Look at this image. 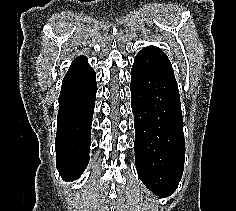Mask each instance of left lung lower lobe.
<instances>
[{
    "label": "left lung lower lobe",
    "mask_w": 236,
    "mask_h": 211,
    "mask_svg": "<svg viewBox=\"0 0 236 211\" xmlns=\"http://www.w3.org/2000/svg\"><path fill=\"white\" fill-rule=\"evenodd\" d=\"M130 89L138 176L153 192L169 196L182 177L185 139L178 86L163 51L148 46L136 55Z\"/></svg>",
    "instance_id": "obj_1"
}]
</instances>
